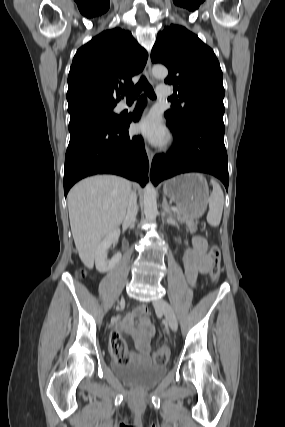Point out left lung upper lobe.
<instances>
[{
  "label": "left lung upper lobe",
  "mask_w": 285,
  "mask_h": 427,
  "mask_svg": "<svg viewBox=\"0 0 285 427\" xmlns=\"http://www.w3.org/2000/svg\"><path fill=\"white\" fill-rule=\"evenodd\" d=\"M153 63L167 66L165 83L178 92L176 105L165 116L179 127L201 117L223 121L224 87L220 64L213 50L183 26L171 24L157 36ZM181 103V104H180Z\"/></svg>",
  "instance_id": "left-lung-upper-lobe-1"
}]
</instances>
